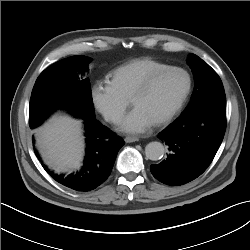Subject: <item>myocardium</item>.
<instances>
[{
	"mask_svg": "<svg viewBox=\"0 0 250 250\" xmlns=\"http://www.w3.org/2000/svg\"><path fill=\"white\" fill-rule=\"evenodd\" d=\"M173 71L181 72L185 75L186 80H187L186 88H185L183 95L181 96L178 103L174 106V108L168 114H166L163 118H161L160 120L154 123V125L158 127H161L170 123L185 106L190 96L191 89H192V77L190 73L186 69L179 67V66H167L162 69H159L151 73L149 76H147L144 79V81L138 86V88L135 90V92L133 93L131 97V103L133 104L134 100L137 97L145 94L146 92L150 90V88L153 86V84L159 77H161L165 73L173 72Z\"/></svg>",
	"mask_w": 250,
	"mask_h": 250,
	"instance_id": "f54148a6",
	"label": "myocardium"
}]
</instances>
